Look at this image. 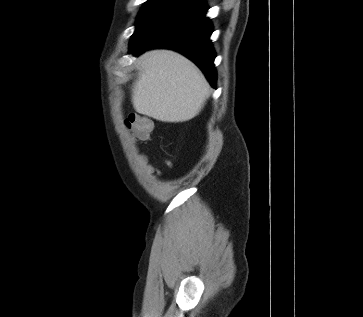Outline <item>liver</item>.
I'll use <instances>...</instances> for the list:
<instances>
[{
	"label": "liver",
	"mask_w": 363,
	"mask_h": 317,
	"mask_svg": "<svg viewBox=\"0 0 363 317\" xmlns=\"http://www.w3.org/2000/svg\"><path fill=\"white\" fill-rule=\"evenodd\" d=\"M141 75L132 89L136 112L169 123L197 116L209 96V84L186 57L156 49L139 57Z\"/></svg>",
	"instance_id": "obj_1"
}]
</instances>
